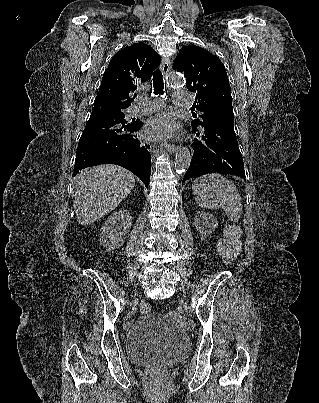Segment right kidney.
Wrapping results in <instances>:
<instances>
[{
    "instance_id": "right-kidney-1",
    "label": "right kidney",
    "mask_w": 319,
    "mask_h": 403,
    "mask_svg": "<svg viewBox=\"0 0 319 403\" xmlns=\"http://www.w3.org/2000/svg\"><path fill=\"white\" fill-rule=\"evenodd\" d=\"M131 225L132 217L127 210L113 212L100 229V242L103 247L112 251L122 246Z\"/></svg>"
}]
</instances>
